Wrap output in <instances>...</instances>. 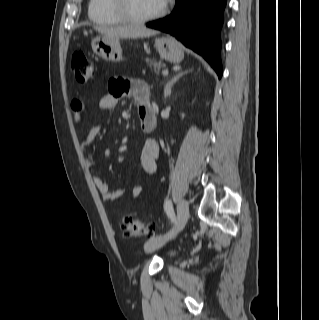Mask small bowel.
<instances>
[{"instance_id":"obj_1","label":"small bowel","mask_w":319,"mask_h":320,"mask_svg":"<svg viewBox=\"0 0 319 320\" xmlns=\"http://www.w3.org/2000/svg\"><path fill=\"white\" fill-rule=\"evenodd\" d=\"M133 97L138 102V112L146 107L151 106L149 100V91L145 82L140 80H129L125 78H112L109 81V91L107 94L102 96L99 100V108L101 110H111L117 105V102L123 98ZM72 109L79 117V112L82 109V103L75 101L72 104ZM100 133V128L94 126L89 129L81 142L82 149H87L97 138ZM159 157V145L153 139H147L144 142L142 151L138 156V163L144 172L148 174H153L157 169V161ZM90 168L93 167V162L91 160L87 161ZM94 183L98 188L100 194L104 201L111 202L124 193L123 189L111 190L108 183L102 179L100 176L94 177ZM142 193V187L139 184H135L130 189V198L136 199Z\"/></svg>"}]
</instances>
